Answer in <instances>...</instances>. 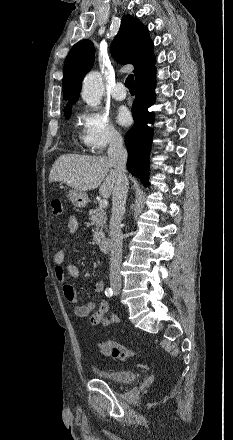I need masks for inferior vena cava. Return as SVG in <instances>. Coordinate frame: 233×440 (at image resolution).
I'll use <instances>...</instances> for the list:
<instances>
[{
  "label": "inferior vena cava",
  "mask_w": 233,
  "mask_h": 440,
  "mask_svg": "<svg viewBox=\"0 0 233 440\" xmlns=\"http://www.w3.org/2000/svg\"><path fill=\"white\" fill-rule=\"evenodd\" d=\"M108 157L116 172V182L112 192V215L110 219V283L121 284L120 265L122 261V232L121 221L125 212L128 192V178L126 175L127 151L123 147L120 134L112 135Z\"/></svg>",
  "instance_id": "1"
}]
</instances>
